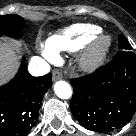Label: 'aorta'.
Instances as JSON below:
<instances>
[{
	"label": "aorta",
	"instance_id": "aorta-1",
	"mask_svg": "<svg viewBox=\"0 0 136 136\" xmlns=\"http://www.w3.org/2000/svg\"><path fill=\"white\" fill-rule=\"evenodd\" d=\"M55 94L60 99H69L72 96V89L65 81H58L54 85Z\"/></svg>",
	"mask_w": 136,
	"mask_h": 136
}]
</instances>
